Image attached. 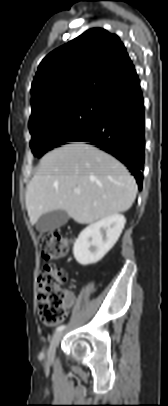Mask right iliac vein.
<instances>
[{
	"label": "right iliac vein",
	"instance_id": "1",
	"mask_svg": "<svg viewBox=\"0 0 168 406\" xmlns=\"http://www.w3.org/2000/svg\"><path fill=\"white\" fill-rule=\"evenodd\" d=\"M62 334H63L62 331H58L53 335V337L51 339L50 346H49V349H48V358L50 360H52L54 358L55 351H56V348H57V346H58V344L60 342Z\"/></svg>",
	"mask_w": 168,
	"mask_h": 406
}]
</instances>
